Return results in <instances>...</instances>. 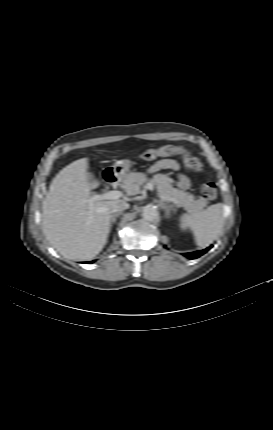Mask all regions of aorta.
I'll return each mask as SVG.
<instances>
[{
	"mask_svg": "<svg viewBox=\"0 0 273 430\" xmlns=\"http://www.w3.org/2000/svg\"><path fill=\"white\" fill-rule=\"evenodd\" d=\"M158 215H159L158 210L154 206H151V205H147L144 208L143 214H142L143 218L146 221H154L158 218Z\"/></svg>",
	"mask_w": 273,
	"mask_h": 430,
	"instance_id": "aorta-1",
	"label": "aorta"
}]
</instances>
